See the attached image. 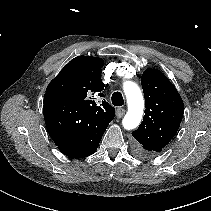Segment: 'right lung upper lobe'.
Wrapping results in <instances>:
<instances>
[{"mask_svg":"<svg viewBox=\"0 0 211 211\" xmlns=\"http://www.w3.org/2000/svg\"><path fill=\"white\" fill-rule=\"evenodd\" d=\"M103 65L104 61L100 58L78 56L50 82L46 93L74 99L80 108L82 121L79 122L82 124L108 126L115 116V109L105 100L98 105L93 98V95L101 92L105 86L101 80Z\"/></svg>","mask_w":211,"mask_h":211,"instance_id":"cb5924a9","label":"right lung upper lobe"}]
</instances>
